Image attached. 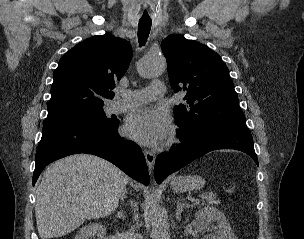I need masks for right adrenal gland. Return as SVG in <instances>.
Returning <instances> with one entry per match:
<instances>
[{"instance_id": "right-adrenal-gland-1", "label": "right adrenal gland", "mask_w": 304, "mask_h": 239, "mask_svg": "<svg viewBox=\"0 0 304 239\" xmlns=\"http://www.w3.org/2000/svg\"><path fill=\"white\" fill-rule=\"evenodd\" d=\"M117 217H118L119 219H122V220H125V219H126V216L124 215V212H123V211L118 212Z\"/></svg>"}]
</instances>
